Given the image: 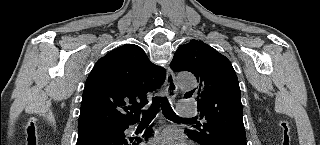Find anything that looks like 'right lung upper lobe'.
<instances>
[{"mask_svg":"<svg viewBox=\"0 0 320 145\" xmlns=\"http://www.w3.org/2000/svg\"><path fill=\"white\" fill-rule=\"evenodd\" d=\"M166 71L142 48L120 46L100 58L89 74L82 97L78 131L127 126L139 120L147 92L164 83Z\"/></svg>","mask_w":320,"mask_h":145,"instance_id":"1","label":"right lung upper lobe"}]
</instances>
